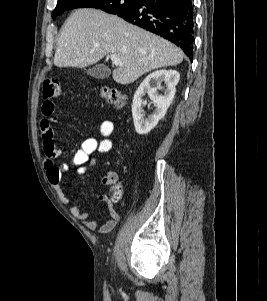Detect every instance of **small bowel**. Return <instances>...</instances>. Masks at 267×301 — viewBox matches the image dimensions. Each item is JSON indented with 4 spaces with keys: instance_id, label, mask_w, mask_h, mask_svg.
Returning <instances> with one entry per match:
<instances>
[{
    "instance_id": "1",
    "label": "small bowel",
    "mask_w": 267,
    "mask_h": 301,
    "mask_svg": "<svg viewBox=\"0 0 267 301\" xmlns=\"http://www.w3.org/2000/svg\"><path fill=\"white\" fill-rule=\"evenodd\" d=\"M42 119L40 121V130L43 138V148L45 153L44 168L47 173V178L55 189L61 200L70 205V212L72 216L80 220L83 225L92 231L99 233H109L112 231L118 220L119 214L110 203L108 197L104 194L99 195L98 199L108 206V218L106 221L94 220L88 212L82 211L77 205L73 204L71 200L63 193L61 175L63 172L75 169L76 176L82 177L86 175L90 168L98 165V158L95 153H108L112 149V141L109 137L114 132V124L109 120L103 121L99 126V133L103 137L97 140L94 137L86 138L79 150L75 153L70 164H63L57 166L55 159L62 154L54 141V134L52 129V122L54 120L55 104L51 99H45L41 107ZM117 176L110 172L100 178L101 182L105 185L114 183Z\"/></svg>"
}]
</instances>
